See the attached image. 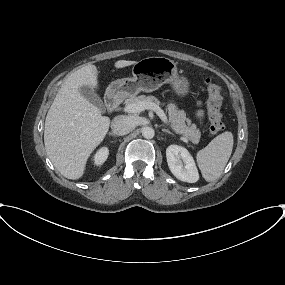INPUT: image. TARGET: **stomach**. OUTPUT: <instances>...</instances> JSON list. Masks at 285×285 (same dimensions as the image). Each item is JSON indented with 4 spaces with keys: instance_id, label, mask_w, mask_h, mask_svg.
I'll return each instance as SVG.
<instances>
[{
    "instance_id": "1",
    "label": "stomach",
    "mask_w": 285,
    "mask_h": 285,
    "mask_svg": "<svg viewBox=\"0 0 285 285\" xmlns=\"http://www.w3.org/2000/svg\"><path fill=\"white\" fill-rule=\"evenodd\" d=\"M131 78L113 81L107 93L111 96H134L139 92H153L169 83L173 91L184 96L189 90V81L179 76L176 63L166 57H147L136 62Z\"/></svg>"
}]
</instances>
